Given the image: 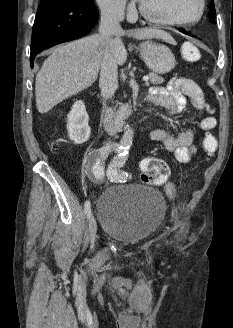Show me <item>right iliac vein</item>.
<instances>
[{
	"instance_id": "obj_1",
	"label": "right iliac vein",
	"mask_w": 233,
	"mask_h": 328,
	"mask_svg": "<svg viewBox=\"0 0 233 328\" xmlns=\"http://www.w3.org/2000/svg\"><path fill=\"white\" fill-rule=\"evenodd\" d=\"M96 232H97V223L92 214H90L89 217V237H90V243H91V248L94 247V242L96 238Z\"/></svg>"
}]
</instances>
